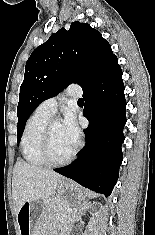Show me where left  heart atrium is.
I'll return each mask as SVG.
<instances>
[{
    "label": "left heart atrium",
    "instance_id": "obj_1",
    "mask_svg": "<svg viewBox=\"0 0 155 235\" xmlns=\"http://www.w3.org/2000/svg\"><path fill=\"white\" fill-rule=\"evenodd\" d=\"M62 128L70 143L75 146L79 140L80 131L72 114L67 113L65 115L62 122Z\"/></svg>",
    "mask_w": 155,
    "mask_h": 235
}]
</instances>
